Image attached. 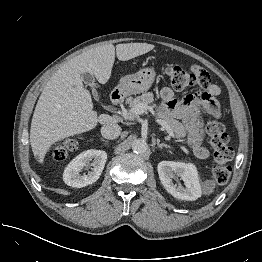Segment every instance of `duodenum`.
<instances>
[{
  "label": "duodenum",
  "instance_id": "obj_1",
  "mask_svg": "<svg viewBox=\"0 0 262 262\" xmlns=\"http://www.w3.org/2000/svg\"><path fill=\"white\" fill-rule=\"evenodd\" d=\"M111 101L114 103H119L122 101V93L119 90H113L110 93Z\"/></svg>",
  "mask_w": 262,
  "mask_h": 262
}]
</instances>
